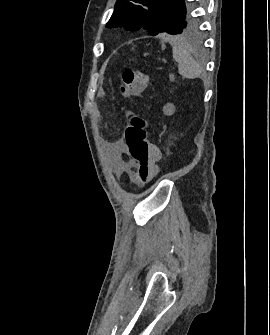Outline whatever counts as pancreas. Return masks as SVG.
Segmentation results:
<instances>
[{
    "mask_svg": "<svg viewBox=\"0 0 270 335\" xmlns=\"http://www.w3.org/2000/svg\"><path fill=\"white\" fill-rule=\"evenodd\" d=\"M169 80H170V82H174L175 78H174L173 74H169Z\"/></svg>",
    "mask_w": 270,
    "mask_h": 335,
    "instance_id": "obj_1",
    "label": "pancreas"
}]
</instances>
